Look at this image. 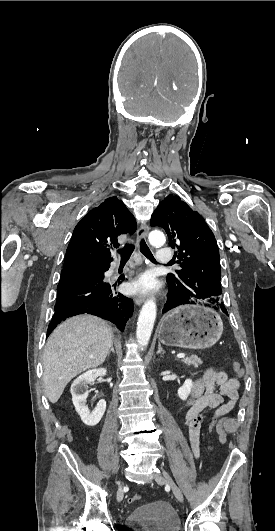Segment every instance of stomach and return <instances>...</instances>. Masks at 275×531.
Masks as SVG:
<instances>
[{
  "instance_id": "stomach-1",
  "label": "stomach",
  "mask_w": 275,
  "mask_h": 531,
  "mask_svg": "<svg viewBox=\"0 0 275 531\" xmlns=\"http://www.w3.org/2000/svg\"><path fill=\"white\" fill-rule=\"evenodd\" d=\"M222 333V319L216 311L202 307L201 301H183L181 307L161 319L158 337L167 347L208 349Z\"/></svg>"
}]
</instances>
